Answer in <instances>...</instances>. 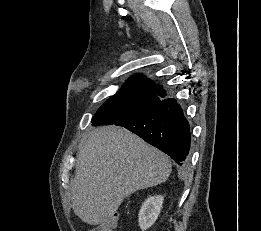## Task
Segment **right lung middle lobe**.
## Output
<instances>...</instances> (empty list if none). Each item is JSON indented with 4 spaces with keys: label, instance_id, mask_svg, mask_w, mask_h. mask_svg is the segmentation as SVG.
<instances>
[{
    "label": "right lung middle lobe",
    "instance_id": "obj_1",
    "mask_svg": "<svg viewBox=\"0 0 261 231\" xmlns=\"http://www.w3.org/2000/svg\"><path fill=\"white\" fill-rule=\"evenodd\" d=\"M161 101L160 97L138 88H122L108 99L92 119L93 126L115 124L145 110Z\"/></svg>",
    "mask_w": 261,
    "mask_h": 231
}]
</instances>
